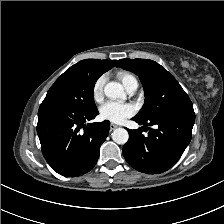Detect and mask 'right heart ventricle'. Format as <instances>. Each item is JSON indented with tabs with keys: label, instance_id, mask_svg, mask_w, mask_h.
I'll list each match as a JSON object with an SVG mask.
<instances>
[{
	"label": "right heart ventricle",
	"instance_id": "obj_1",
	"mask_svg": "<svg viewBox=\"0 0 224 224\" xmlns=\"http://www.w3.org/2000/svg\"><path fill=\"white\" fill-rule=\"evenodd\" d=\"M117 77L119 78V80L122 82V84L124 85V87L126 88L133 80H136L135 77L126 72V71H120L117 73Z\"/></svg>",
	"mask_w": 224,
	"mask_h": 224
}]
</instances>
